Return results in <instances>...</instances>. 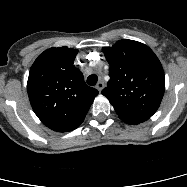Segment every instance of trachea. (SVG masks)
I'll use <instances>...</instances> for the list:
<instances>
[{
	"label": "trachea",
	"mask_w": 187,
	"mask_h": 187,
	"mask_svg": "<svg viewBox=\"0 0 187 187\" xmlns=\"http://www.w3.org/2000/svg\"><path fill=\"white\" fill-rule=\"evenodd\" d=\"M97 81H98V77L95 74H92L87 78V84L90 86H94L97 83Z\"/></svg>",
	"instance_id": "trachea-1"
}]
</instances>
